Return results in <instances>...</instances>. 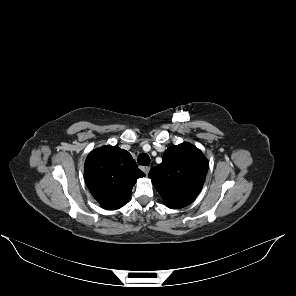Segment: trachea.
<instances>
[{"instance_id": "1", "label": "trachea", "mask_w": 296, "mask_h": 296, "mask_svg": "<svg viewBox=\"0 0 296 296\" xmlns=\"http://www.w3.org/2000/svg\"><path fill=\"white\" fill-rule=\"evenodd\" d=\"M137 162L140 165L143 166H147L150 163V157L146 154V153H141L138 157H137Z\"/></svg>"}]
</instances>
